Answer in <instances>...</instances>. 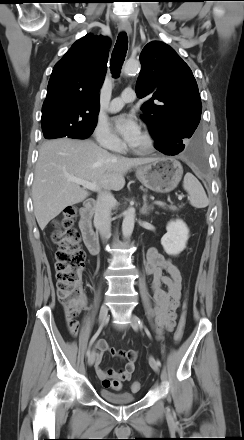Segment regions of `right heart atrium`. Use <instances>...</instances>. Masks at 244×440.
Returning a JSON list of instances; mask_svg holds the SVG:
<instances>
[{"instance_id":"right-heart-atrium-1","label":"right heart atrium","mask_w":244,"mask_h":440,"mask_svg":"<svg viewBox=\"0 0 244 440\" xmlns=\"http://www.w3.org/2000/svg\"><path fill=\"white\" fill-rule=\"evenodd\" d=\"M94 136L97 142L104 148L119 150L121 148L120 139L112 132L108 123L100 121L94 130Z\"/></svg>"}]
</instances>
